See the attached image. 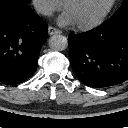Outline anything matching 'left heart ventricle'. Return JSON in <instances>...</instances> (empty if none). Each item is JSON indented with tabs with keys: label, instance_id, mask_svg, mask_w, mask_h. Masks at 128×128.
Returning <instances> with one entry per match:
<instances>
[{
	"label": "left heart ventricle",
	"instance_id": "left-heart-ventricle-1",
	"mask_svg": "<svg viewBox=\"0 0 128 128\" xmlns=\"http://www.w3.org/2000/svg\"><path fill=\"white\" fill-rule=\"evenodd\" d=\"M109 2L110 0H75L66 12L74 24H84L97 18Z\"/></svg>",
	"mask_w": 128,
	"mask_h": 128
}]
</instances>
